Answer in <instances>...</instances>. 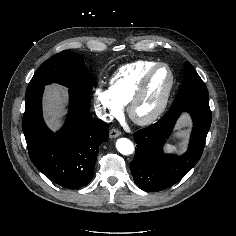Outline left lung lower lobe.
I'll return each instance as SVG.
<instances>
[{"mask_svg": "<svg viewBox=\"0 0 236 236\" xmlns=\"http://www.w3.org/2000/svg\"><path fill=\"white\" fill-rule=\"evenodd\" d=\"M182 111L193 119L189 148L182 156L164 154L162 147ZM210 108L194 105L172 107L155 124L134 134L137 148L130 163L136 185L144 191H162L182 179L199 161L211 126Z\"/></svg>", "mask_w": 236, "mask_h": 236, "instance_id": "0a47b994", "label": "left lung lower lobe"}]
</instances>
